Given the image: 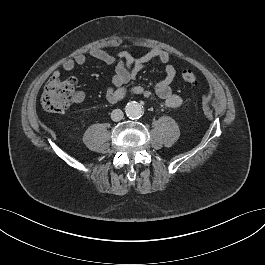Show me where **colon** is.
I'll return each instance as SVG.
<instances>
[{
	"label": "colon",
	"instance_id": "obj_1",
	"mask_svg": "<svg viewBox=\"0 0 265 265\" xmlns=\"http://www.w3.org/2000/svg\"><path fill=\"white\" fill-rule=\"evenodd\" d=\"M182 78L189 84L198 83L197 76L189 70L183 72ZM74 96L75 86L73 79L52 76L44 86L41 95V105L49 113H61L69 108L74 101Z\"/></svg>",
	"mask_w": 265,
	"mask_h": 265
}]
</instances>
